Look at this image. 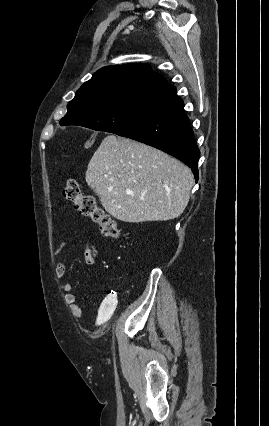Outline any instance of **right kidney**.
<instances>
[{"mask_svg": "<svg viewBox=\"0 0 269 426\" xmlns=\"http://www.w3.org/2000/svg\"><path fill=\"white\" fill-rule=\"evenodd\" d=\"M112 292L116 293L117 289L113 288ZM116 305H117V300L112 295L107 296L104 299L98 312V318H97L98 325H101L110 319V317L112 316L116 308Z\"/></svg>", "mask_w": 269, "mask_h": 426, "instance_id": "right-kidney-1", "label": "right kidney"}]
</instances>
